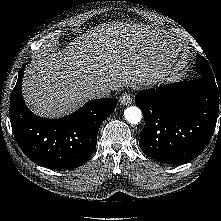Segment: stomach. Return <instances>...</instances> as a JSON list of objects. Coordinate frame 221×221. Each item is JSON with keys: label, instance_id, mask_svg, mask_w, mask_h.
<instances>
[{"label": "stomach", "instance_id": "1", "mask_svg": "<svg viewBox=\"0 0 221 221\" xmlns=\"http://www.w3.org/2000/svg\"><path fill=\"white\" fill-rule=\"evenodd\" d=\"M156 48L159 56H164L168 59V65L162 68L161 73L157 76V82L164 80L165 76L170 72L173 63L180 51V45L178 42L171 39L168 35L156 34L154 37ZM156 82V83H157Z\"/></svg>", "mask_w": 221, "mask_h": 221}]
</instances>
